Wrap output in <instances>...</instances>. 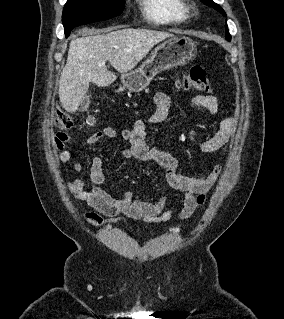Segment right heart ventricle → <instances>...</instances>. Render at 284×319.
I'll return each mask as SVG.
<instances>
[{"label": "right heart ventricle", "instance_id": "1", "mask_svg": "<svg viewBox=\"0 0 284 319\" xmlns=\"http://www.w3.org/2000/svg\"><path fill=\"white\" fill-rule=\"evenodd\" d=\"M143 17L156 25L180 24L189 18L185 0H137Z\"/></svg>", "mask_w": 284, "mask_h": 319}]
</instances>
